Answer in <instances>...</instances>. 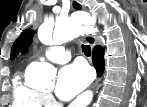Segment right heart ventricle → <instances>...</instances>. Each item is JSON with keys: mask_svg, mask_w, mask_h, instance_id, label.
Instances as JSON below:
<instances>
[{"mask_svg": "<svg viewBox=\"0 0 147 107\" xmlns=\"http://www.w3.org/2000/svg\"><path fill=\"white\" fill-rule=\"evenodd\" d=\"M12 100L14 107H42L46 103L44 95L23 82L20 73L13 79Z\"/></svg>", "mask_w": 147, "mask_h": 107, "instance_id": "e07e8e85", "label": "right heart ventricle"}]
</instances>
